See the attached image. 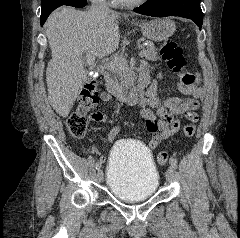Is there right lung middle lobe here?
<instances>
[{
  "mask_svg": "<svg viewBox=\"0 0 240 238\" xmlns=\"http://www.w3.org/2000/svg\"><path fill=\"white\" fill-rule=\"evenodd\" d=\"M71 0H41V19L49 16V14L59 6L70 5Z\"/></svg>",
  "mask_w": 240,
  "mask_h": 238,
  "instance_id": "dd1d6c3e",
  "label": "right lung middle lobe"
}]
</instances>
